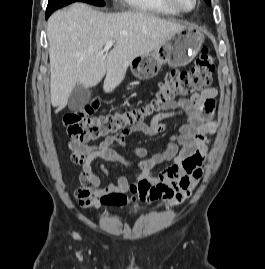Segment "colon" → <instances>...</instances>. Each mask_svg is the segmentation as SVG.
<instances>
[{
    "mask_svg": "<svg viewBox=\"0 0 265 269\" xmlns=\"http://www.w3.org/2000/svg\"><path fill=\"white\" fill-rule=\"evenodd\" d=\"M214 71V59L208 49L204 48L190 70L170 71L159 84L152 99L141 107L94 117L92 113L99 107V102H94L66 114L63 122L67 135L71 140L79 142L116 137L126 129L142 123L176 96H190L207 89ZM164 193L165 188L162 186L148 188L151 198H160Z\"/></svg>",
    "mask_w": 265,
    "mask_h": 269,
    "instance_id": "1",
    "label": "colon"
}]
</instances>
